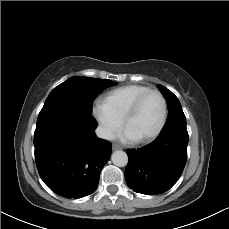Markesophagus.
Returning <instances> with one entry per match:
<instances>
[{
  "mask_svg": "<svg viewBox=\"0 0 229 229\" xmlns=\"http://www.w3.org/2000/svg\"><path fill=\"white\" fill-rule=\"evenodd\" d=\"M120 149H122L121 146H119V145H117V144H113V145H112V150H113V151L120 150Z\"/></svg>",
  "mask_w": 229,
  "mask_h": 229,
  "instance_id": "1",
  "label": "esophagus"
}]
</instances>
